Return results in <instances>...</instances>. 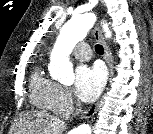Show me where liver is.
<instances>
[{
    "instance_id": "1",
    "label": "liver",
    "mask_w": 153,
    "mask_h": 134,
    "mask_svg": "<svg viewBox=\"0 0 153 134\" xmlns=\"http://www.w3.org/2000/svg\"><path fill=\"white\" fill-rule=\"evenodd\" d=\"M24 116L28 120L21 124L18 134H26V132H44V134H49V132H62L65 128L64 124H59L60 121L49 114L30 112L24 114ZM59 126L60 130L58 129Z\"/></svg>"
}]
</instances>
